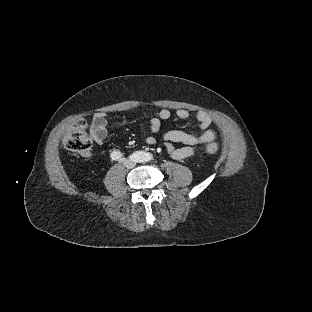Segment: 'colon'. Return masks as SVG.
<instances>
[{"label": "colon", "mask_w": 312, "mask_h": 312, "mask_svg": "<svg viewBox=\"0 0 312 312\" xmlns=\"http://www.w3.org/2000/svg\"><path fill=\"white\" fill-rule=\"evenodd\" d=\"M93 143V138L83 129L73 131L66 137V146L68 150L81 155L88 154L93 146ZM218 150V144L213 142L208 143L205 147V151L208 154H214Z\"/></svg>", "instance_id": "1"}]
</instances>
